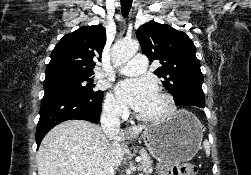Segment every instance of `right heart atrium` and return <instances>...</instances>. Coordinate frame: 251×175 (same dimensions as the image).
Wrapping results in <instances>:
<instances>
[{"instance_id":"d8ad5b80","label":"right heart atrium","mask_w":251,"mask_h":175,"mask_svg":"<svg viewBox=\"0 0 251 175\" xmlns=\"http://www.w3.org/2000/svg\"><path fill=\"white\" fill-rule=\"evenodd\" d=\"M104 113L111 119L124 120L127 118L129 112L113 95L109 92L104 100Z\"/></svg>"}]
</instances>
